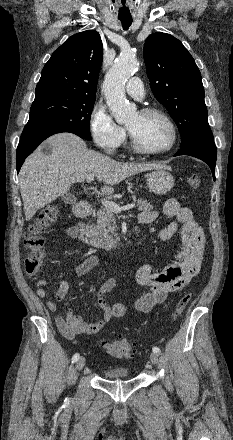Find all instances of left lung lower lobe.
Instances as JSON below:
<instances>
[{
    "instance_id": "1",
    "label": "left lung lower lobe",
    "mask_w": 233,
    "mask_h": 440,
    "mask_svg": "<svg viewBox=\"0 0 233 440\" xmlns=\"http://www.w3.org/2000/svg\"><path fill=\"white\" fill-rule=\"evenodd\" d=\"M179 155H188L201 159L209 165L213 178L215 179L217 149L214 143L213 134L182 146L174 156Z\"/></svg>"
}]
</instances>
